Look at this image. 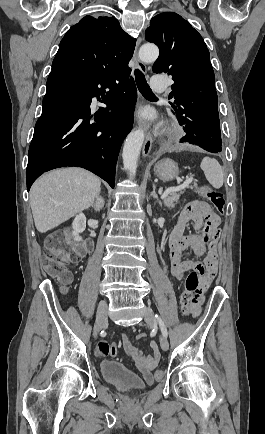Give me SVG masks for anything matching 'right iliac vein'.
<instances>
[{
    "label": "right iliac vein",
    "instance_id": "63e3f726",
    "mask_svg": "<svg viewBox=\"0 0 265 434\" xmlns=\"http://www.w3.org/2000/svg\"><path fill=\"white\" fill-rule=\"evenodd\" d=\"M107 323V303L105 301H101L98 306L96 322L94 325V338L97 337L100 330H102V328H104Z\"/></svg>",
    "mask_w": 265,
    "mask_h": 434
}]
</instances>
